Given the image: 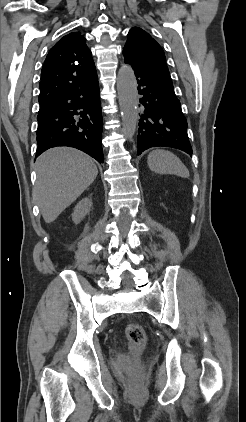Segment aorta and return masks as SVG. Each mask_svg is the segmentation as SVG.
<instances>
[{
    "label": "aorta",
    "instance_id": "aorta-1",
    "mask_svg": "<svg viewBox=\"0 0 246 422\" xmlns=\"http://www.w3.org/2000/svg\"><path fill=\"white\" fill-rule=\"evenodd\" d=\"M117 92L122 117V132L131 139L136 131L139 100L136 78L128 65L121 66L118 71Z\"/></svg>",
    "mask_w": 246,
    "mask_h": 422
}]
</instances>
